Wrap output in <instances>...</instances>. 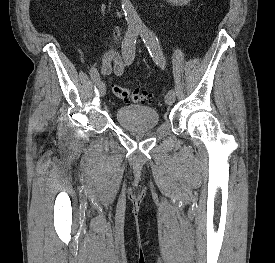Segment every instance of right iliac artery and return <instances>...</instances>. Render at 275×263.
<instances>
[{"mask_svg":"<svg viewBox=\"0 0 275 263\" xmlns=\"http://www.w3.org/2000/svg\"><path fill=\"white\" fill-rule=\"evenodd\" d=\"M138 34L137 28H130L125 39L122 41V55L128 65L132 63L135 56V44ZM90 76L94 83H100V76L95 67H91Z\"/></svg>","mask_w":275,"mask_h":263,"instance_id":"right-iliac-artery-1","label":"right iliac artery"}]
</instances>
